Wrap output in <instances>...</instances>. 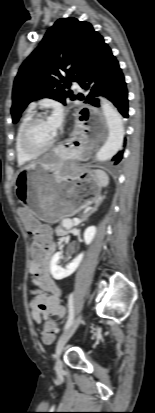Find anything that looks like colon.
Returning <instances> with one entry per match:
<instances>
[{"instance_id":"obj_1","label":"colon","mask_w":155,"mask_h":413,"mask_svg":"<svg viewBox=\"0 0 155 413\" xmlns=\"http://www.w3.org/2000/svg\"><path fill=\"white\" fill-rule=\"evenodd\" d=\"M31 233L34 235V242L31 249L32 257L35 260H43L47 251L46 242L44 238L39 235L38 231H31ZM55 332V324L51 321H48L41 331L43 342L47 344L51 343L54 339Z\"/></svg>"}]
</instances>
